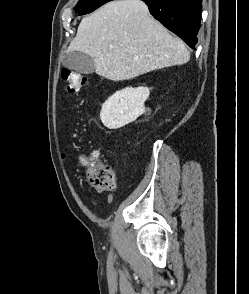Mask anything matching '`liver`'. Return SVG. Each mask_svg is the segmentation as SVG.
Returning a JSON list of instances; mask_svg holds the SVG:
<instances>
[{"label":"liver","instance_id":"liver-1","mask_svg":"<svg viewBox=\"0 0 249 294\" xmlns=\"http://www.w3.org/2000/svg\"><path fill=\"white\" fill-rule=\"evenodd\" d=\"M92 57L96 74L112 81L186 64L190 52L154 20L141 0L112 1L82 19L67 53Z\"/></svg>","mask_w":249,"mask_h":294}]
</instances>
